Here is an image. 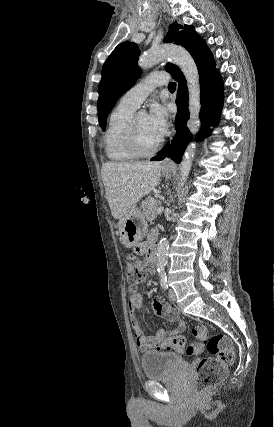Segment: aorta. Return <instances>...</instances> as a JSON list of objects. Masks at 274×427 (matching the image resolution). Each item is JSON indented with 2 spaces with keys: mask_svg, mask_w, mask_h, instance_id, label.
Returning <instances> with one entry per match:
<instances>
[{
  "mask_svg": "<svg viewBox=\"0 0 274 427\" xmlns=\"http://www.w3.org/2000/svg\"><path fill=\"white\" fill-rule=\"evenodd\" d=\"M166 58H171L183 72L189 94V112L190 118L187 126L193 135L198 133L200 127V82L199 73L194 59L189 52L180 46H159L143 53L139 60V67L143 70L153 67L155 64L163 61ZM196 153V143L190 142L185 150L182 161L179 164L180 179L178 190H180L186 181L192 167V162ZM169 243L166 238H161L157 245V265L158 273L162 280L165 279V265L168 260Z\"/></svg>",
  "mask_w": 274,
  "mask_h": 427,
  "instance_id": "obj_1",
  "label": "aorta"
}]
</instances>
